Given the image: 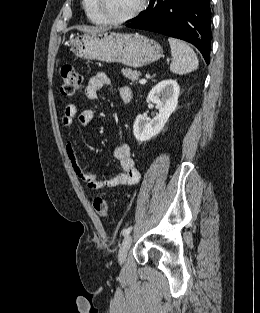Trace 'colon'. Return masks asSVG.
<instances>
[{
  "label": "colon",
  "instance_id": "obj_1",
  "mask_svg": "<svg viewBox=\"0 0 260 313\" xmlns=\"http://www.w3.org/2000/svg\"><path fill=\"white\" fill-rule=\"evenodd\" d=\"M83 86L82 76L75 68L73 63H65L61 68V93L65 97H72ZM93 207L97 214L102 217H108L110 207L108 202L102 197H96L93 201Z\"/></svg>",
  "mask_w": 260,
  "mask_h": 313
}]
</instances>
